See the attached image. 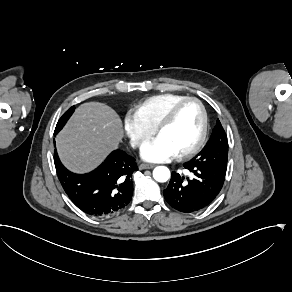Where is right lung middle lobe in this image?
Returning <instances> with one entry per match:
<instances>
[{
	"label": "right lung middle lobe",
	"instance_id": "1",
	"mask_svg": "<svg viewBox=\"0 0 292 292\" xmlns=\"http://www.w3.org/2000/svg\"><path fill=\"white\" fill-rule=\"evenodd\" d=\"M73 112H74V106H72L67 112L64 113V115L60 118V120L58 121L56 125L54 134H57L63 128V126L65 125V123L70 118Z\"/></svg>",
	"mask_w": 292,
	"mask_h": 292
}]
</instances>
